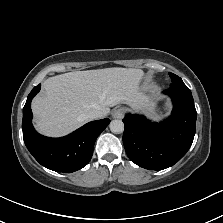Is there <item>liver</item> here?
<instances>
[{
	"instance_id": "liver-1",
	"label": "liver",
	"mask_w": 223,
	"mask_h": 223,
	"mask_svg": "<svg viewBox=\"0 0 223 223\" xmlns=\"http://www.w3.org/2000/svg\"><path fill=\"white\" fill-rule=\"evenodd\" d=\"M144 77L142 69L122 67L49 77L43 82L45 92L31 102L34 127L43 136L60 138L90 122L92 110H101L107 116L110 107L120 103L136 109L150 97L142 86Z\"/></svg>"
}]
</instances>
